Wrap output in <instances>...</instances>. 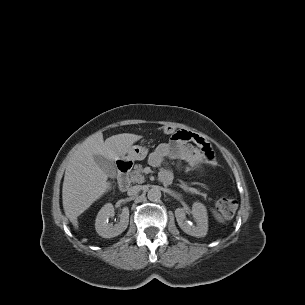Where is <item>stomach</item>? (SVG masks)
I'll use <instances>...</instances> for the list:
<instances>
[{"label":"stomach","mask_w":305,"mask_h":305,"mask_svg":"<svg viewBox=\"0 0 305 305\" xmlns=\"http://www.w3.org/2000/svg\"><path fill=\"white\" fill-rule=\"evenodd\" d=\"M148 149L144 146L133 145L131 146L126 155L123 156V160L134 162L136 160L141 161L146 158Z\"/></svg>","instance_id":"stomach-1"}]
</instances>
